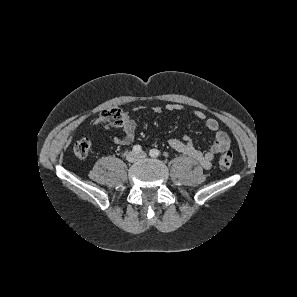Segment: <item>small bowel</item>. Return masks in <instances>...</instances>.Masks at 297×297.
I'll list each match as a JSON object with an SVG mask.
<instances>
[{
  "label": "small bowel",
  "instance_id": "1",
  "mask_svg": "<svg viewBox=\"0 0 297 297\" xmlns=\"http://www.w3.org/2000/svg\"><path fill=\"white\" fill-rule=\"evenodd\" d=\"M182 106L179 104H168L166 109L168 111H179ZM162 111L161 107H154V113H160ZM194 116L199 119L205 121L206 127L215 132V139L210 146V148L202 152L198 150L192 143L189 137H183L182 139L172 138L169 140V145L171 148L176 150L179 153H182L196 162H198L203 168L209 169L211 167L212 161L216 154L227 150L230 146V139L226 132L219 129V123L215 118L209 117L207 118L205 113L202 111H195ZM102 121L99 119L98 123ZM123 136L118 138L114 137L112 141L117 145H129L134 141L137 124L131 119L129 116L125 117L124 123L122 124Z\"/></svg>",
  "mask_w": 297,
  "mask_h": 297
}]
</instances>
